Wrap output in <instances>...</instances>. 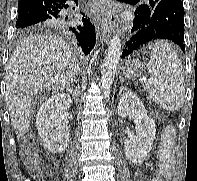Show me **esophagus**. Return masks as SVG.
<instances>
[{"label": "esophagus", "mask_w": 197, "mask_h": 181, "mask_svg": "<svg viewBox=\"0 0 197 181\" xmlns=\"http://www.w3.org/2000/svg\"><path fill=\"white\" fill-rule=\"evenodd\" d=\"M100 18H99V29L101 35L107 41V38L111 35L117 16L112 0H100Z\"/></svg>", "instance_id": "34e87169"}]
</instances>
